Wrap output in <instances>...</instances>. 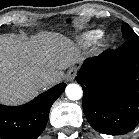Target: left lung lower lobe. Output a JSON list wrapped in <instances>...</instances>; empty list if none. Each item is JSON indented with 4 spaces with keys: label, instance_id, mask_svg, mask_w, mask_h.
I'll use <instances>...</instances> for the list:
<instances>
[{
    "label": "left lung lower lobe",
    "instance_id": "left-lung-lower-lobe-1",
    "mask_svg": "<svg viewBox=\"0 0 139 139\" xmlns=\"http://www.w3.org/2000/svg\"><path fill=\"white\" fill-rule=\"evenodd\" d=\"M76 80L82 84V106L98 132L119 135L139 124V39L85 60Z\"/></svg>",
    "mask_w": 139,
    "mask_h": 139
}]
</instances>
